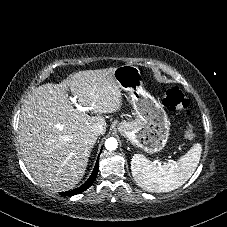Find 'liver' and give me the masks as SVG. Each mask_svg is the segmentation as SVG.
<instances>
[{"mask_svg":"<svg viewBox=\"0 0 227 227\" xmlns=\"http://www.w3.org/2000/svg\"><path fill=\"white\" fill-rule=\"evenodd\" d=\"M115 68L79 71L59 84L35 88L21 111L19 143L23 161L33 178L54 192L73 189L83 178L97 136L95 123L106 121L101 114L113 113L122 105ZM79 105L99 116L80 112Z\"/></svg>","mask_w":227,"mask_h":227,"instance_id":"1","label":"liver"}]
</instances>
